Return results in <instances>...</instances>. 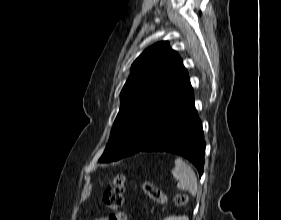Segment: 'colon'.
Segmentation results:
<instances>
[{
  "instance_id": "obj_1",
  "label": "colon",
  "mask_w": 281,
  "mask_h": 220,
  "mask_svg": "<svg viewBox=\"0 0 281 220\" xmlns=\"http://www.w3.org/2000/svg\"><path fill=\"white\" fill-rule=\"evenodd\" d=\"M125 180L123 174L115 175L104 191L103 202L110 211L108 220H126V214L122 210ZM143 189L154 201L159 203L166 202L165 194L154 183L145 181ZM187 201L188 196L185 194H179L174 198V202L177 205H184Z\"/></svg>"
}]
</instances>
